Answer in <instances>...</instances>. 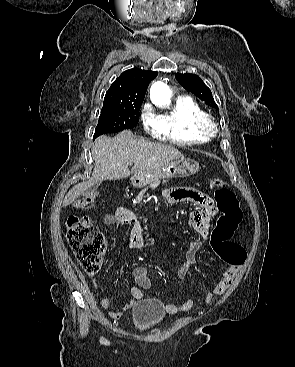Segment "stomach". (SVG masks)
Instances as JSON below:
<instances>
[{
	"instance_id": "obj_1",
	"label": "stomach",
	"mask_w": 295,
	"mask_h": 367,
	"mask_svg": "<svg viewBox=\"0 0 295 367\" xmlns=\"http://www.w3.org/2000/svg\"><path fill=\"white\" fill-rule=\"evenodd\" d=\"M199 164L193 160L170 162L131 179L135 187H143L162 178H183L196 173Z\"/></svg>"
}]
</instances>
